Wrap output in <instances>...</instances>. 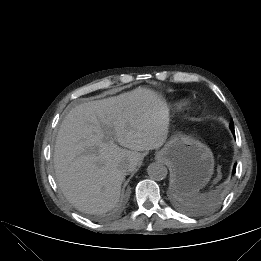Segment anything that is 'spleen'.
I'll return each instance as SVG.
<instances>
[{
  "label": "spleen",
  "mask_w": 261,
  "mask_h": 261,
  "mask_svg": "<svg viewBox=\"0 0 261 261\" xmlns=\"http://www.w3.org/2000/svg\"><path fill=\"white\" fill-rule=\"evenodd\" d=\"M200 196L196 193L181 194L180 199L186 203L194 204L199 200Z\"/></svg>",
  "instance_id": "spleen-1"
}]
</instances>
